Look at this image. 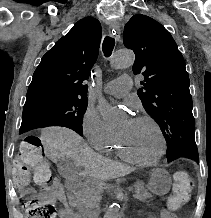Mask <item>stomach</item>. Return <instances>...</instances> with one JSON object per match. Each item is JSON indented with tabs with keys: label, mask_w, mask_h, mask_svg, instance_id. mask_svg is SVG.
<instances>
[{
	"label": "stomach",
	"mask_w": 211,
	"mask_h": 218,
	"mask_svg": "<svg viewBox=\"0 0 211 218\" xmlns=\"http://www.w3.org/2000/svg\"><path fill=\"white\" fill-rule=\"evenodd\" d=\"M171 177L161 168L155 169L148 183V189L158 195H164L170 190Z\"/></svg>",
	"instance_id": "stomach-1"
}]
</instances>
